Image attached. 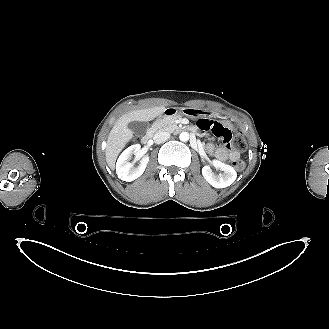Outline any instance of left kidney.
Here are the masks:
<instances>
[{
  "label": "left kidney",
  "instance_id": "5707ae66",
  "mask_svg": "<svg viewBox=\"0 0 329 329\" xmlns=\"http://www.w3.org/2000/svg\"><path fill=\"white\" fill-rule=\"evenodd\" d=\"M212 164L216 169L223 171V173L214 174L209 166H204L202 175L210 185L215 188H225L236 180L237 173L232 166L219 160H213Z\"/></svg>",
  "mask_w": 329,
  "mask_h": 329
}]
</instances>
